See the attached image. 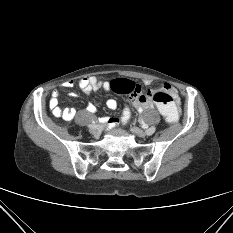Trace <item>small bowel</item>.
<instances>
[{"label":"small bowel","instance_id":"c3829d8e","mask_svg":"<svg viewBox=\"0 0 233 233\" xmlns=\"http://www.w3.org/2000/svg\"><path fill=\"white\" fill-rule=\"evenodd\" d=\"M150 81H146V84H149ZM64 88H72L74 86V82L72 80L65 81L62 85ZM79 89L83 94H89L91 92L98 91L99 89H104L109 91L111 89V83L109 81L99 80L96 77H83L78 81ZM163 90L168 92L173 99V103L176 104L179 102V95L176 88L171 86L170 84H164L162 87ZM69 96H79V93L70 91ZM59 91L53 90L51 94V98L49 101V106L52 110V113L56 117H60L66 121L72 120L76 116V110L74 108H62L59 106ZM133 106L138 112H142L145 109H148L152 106L149 101L139 102V101H132ZM106 106L110 110H115L117 108V102L115 99H108L106 101ZM86 110L90 113H96L97 108L94 104L88 103ZM107 124L114 126L117 124L118 120L115 118H108L106 120Z\"/></svg>","mask_w":233,"mask_h":233}]
</instances>
